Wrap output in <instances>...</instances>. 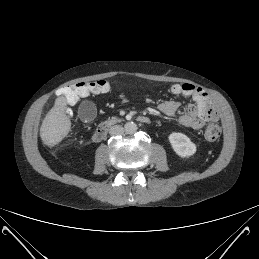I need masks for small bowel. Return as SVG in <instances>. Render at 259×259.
<instances>
[{
    "label": "small bowel",
    "instance_id": "small-bowel-1",
    "mask_svg": "<svg viewBox=\"0 0 259 259\" xmlns=\"http://www.w3.org/2000/svg\"><path fill=\"white\" fill-rule=\"evenodd\" d=\"M196 89L201 90L197 87ZM192 99L195 104L188 105L186 112L180 116L179 122L181 125L191 129H201L206 122L218 119V114L213 108L212 112H209V99L202 101L196 94ZM179 108L180 102L176 100H166L158 106L159 111L168 116L176 114Z\"/></svg>",
    "mask_w": 259,
    "mask_h": 259
}]
</instances>
